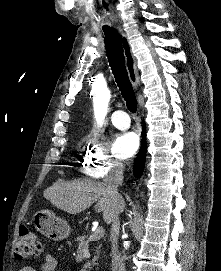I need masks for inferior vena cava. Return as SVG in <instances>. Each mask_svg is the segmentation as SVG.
Masks as SVG:
<instances>
[{
	"label": "inferior vena cava",
	"instance_id": "inferior-vena-cava-1",
	"mask_svg": "<svg viewBox=\"0 0 221 271\" xmlns=\"http://www.w3.org/2000/svg\"><path fill=\"white\" fill-rule=\"evenodd\" d=\"M124 165L118 161L114 167H111L108 177H104L105 193L111 199H118V187L123 181ZM110 241H111V267L112 271H126L124 257L121 255L118 247V237L120 233V217L118 213L113 215L111 221Z\"/></svg>",
	"mask_w": 221,
	"mask_h": 271
}]
</instances>
